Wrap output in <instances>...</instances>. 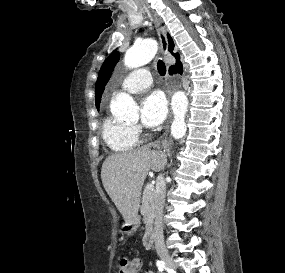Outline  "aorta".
<instances>
[{
	"label": "aorta",
	"instance_id": "obj_1",
	"mask_svg": "<svg viewBox=\"0 0 285 273\" xmlns=\"http://www.w3.org/2000/svg\"><path fill=\"white\" fill-rule=\"evenodd\" d=\"M157 53V43L154 40H145L135 43L124 56V64L128 68H137L150 62ZM174 120L171 125V134L175 139L182 138L186 133L185 114L188 100L184 92L178 91L171 101ZM111 113L120 119L135 118L139 108L135 101L127 94L121 93L110 102Z\"/></svg>",
	"mask_w": 285,
	"mask_h": 273
}]
</instances>
